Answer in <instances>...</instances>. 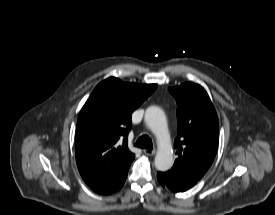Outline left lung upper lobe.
Instances as JSON below:
<instances>
[{"label":"left lung upper lobe","instance_id":"left-lung-upper-lobe-1","mask_svg":"<svg viewBox=\"0 0 275 215\" xmlns=\"http://www.w3.org/2000/svg\"><path fill=\"white\" fill-rule=\"evenodd\" d=\"M169 92L178 106V136L174 142L178 158L170 171L197 182L207 172L217 152V114L207 92L198 84L185 83L169 88Z\"/></svg>","mask_w":275,"mask_h":215}]
</instances>
